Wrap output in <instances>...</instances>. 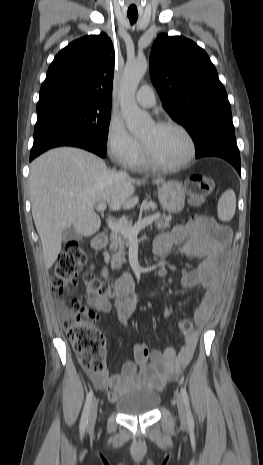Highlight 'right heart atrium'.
Segmentation results:
<instances>
[{"label": "right heart atrium", "instance_id": "1", "mask_svg": "<svg viewBox=\"0 0 263 465\" xmlns=\"http://www.w3.org/2000/svg\"><path fill=\"white\" fill-rule=\"evenodd\" d=\"M106 149L109 156L124 166H133L141 154V145L126 129L123 121L111 117L106 131Z\"/></svg>", "mask_w": 263, "mask_h": 465}]
</instances>
